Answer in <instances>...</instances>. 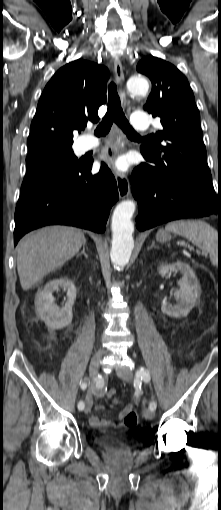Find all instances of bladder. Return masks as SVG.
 <instances>
[{
	"label": "bladder",
	"instance_id": "1",
	"mask_svg": "<svg viewBox=\"0 0 221 510\" xmlns=\"http://www.w3.org/2000/svg\"><path fill=\"white\" fill-rule=\"evenodd\" d=\"M95 443L105 451L129 450L133 451L144 444L142 438H131L124 434L110 433L98 436Z\"/></svg>",
	"mask_w": 221,
	"mask_h": 510
}]
</instances>
